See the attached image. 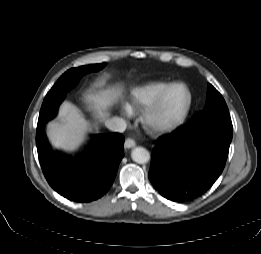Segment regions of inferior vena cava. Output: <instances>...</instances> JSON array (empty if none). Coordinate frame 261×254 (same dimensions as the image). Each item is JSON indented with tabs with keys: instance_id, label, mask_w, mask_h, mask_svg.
Here are the masks:
<instances>
[{
	"instance_id": "1",
	"label": "inferior vena cava",
	"mask_w": 261,
	"mask_h": 254,
	"mask_svg": "<svg viewBox=\"0 0 261 254\" xmlns=\"http://www.w3.org/2000/svg\"><path fill=\"white\" fill-rule=\"evenodd\" d=\"M106 127L114 132H124L127 128V123L123 118L112 117L106 120Z\"/></svg>"
}]
</instances>
